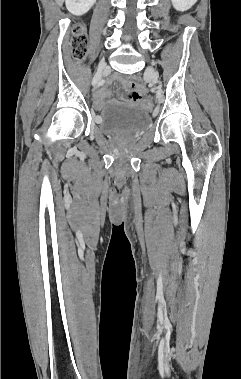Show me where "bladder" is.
<instances>
[{"mask_svg":"<svg viewBox=\"0 0 241 379\" xmlns=\"http://www.w3.org/2000/svg\"><path fill=\"white\" fill-rule=\"evenodd\" d=\"M149 113L140 106L116 103L97 116V126L107 136L133 137L148 128Z\"/></svg>","mask_w":241,"mask_h":379,"instance_id":"obj_1","label":"bladder"}]
</instances>
